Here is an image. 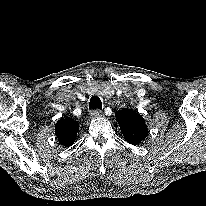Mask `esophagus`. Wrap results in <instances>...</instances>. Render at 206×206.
<instances>
[{"label": "esophagus", "mask_w": 206, "mask_h": 206, "mask_svg": "<svg viewBox=\"0 0 206 206\" xmlns=\"http://www.w3.org/2000/svg\"><path fill=\"white\" fill-rule=\"evenodd\" d=\"M90 115L92 118H98V117H101L102 116V112L98 109H93L91 112H90Z\"/></svg>", "instance_id": "34e87169"}]
</instances>
